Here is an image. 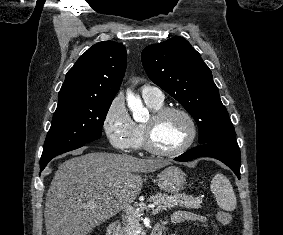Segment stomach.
Wrapping results in <instances>:
<instances>
[{
  "mask_svg": "<svg viewBox=\"0 0 283 235\" xmlns=\"http://www.w3.org/2000/svg\"><path fill=\"white\" fill-rule=\"evenodd\" d=\"M158 186L167 193H178L183 190L186 175L176 166H169L157 175Z\"/></svg>",
  "mask_w": 283,
  "mask_h": 235,
  "instance_id": "stomach-1",
  "label": "stomach"
}]
</instances>
